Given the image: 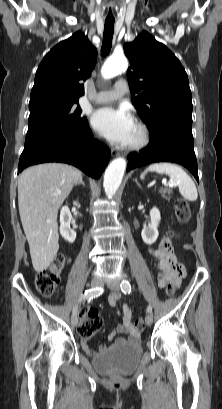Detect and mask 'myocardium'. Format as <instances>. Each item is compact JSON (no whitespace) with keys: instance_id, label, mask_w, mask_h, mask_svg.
Segmentation results:
<instances>
[{"instance_id":"myocardium-1","label":"myocardium","mask_w":222,"mask_h":409,"mask_svg":"<svg viewBox=\"0 0 222 409\" xmlns=\"http://www.w3.org/2000/svg\"><path fill=\"white\" fill-rule=\"evenodd\" d=\"M135 125L139 131V137L137 141L130 143L127 146L129 151L143 150L150 144L151 141V132L148 126L141 121H137Z\"/></svg>"}]
</instances>
